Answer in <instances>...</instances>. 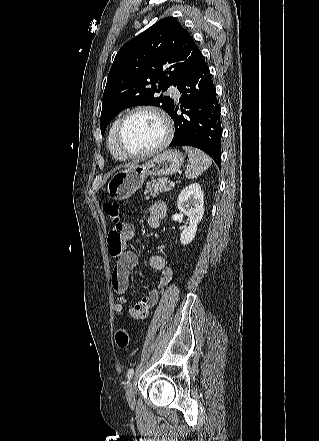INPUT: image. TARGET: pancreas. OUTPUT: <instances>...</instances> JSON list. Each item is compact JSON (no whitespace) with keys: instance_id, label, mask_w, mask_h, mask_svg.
Wrapping results in <instances>:
<instances>
[{"instance_id":"cf45deb5","label":"pancreas","mask_w":319,"mask_h":441,"mask_svg":"<svg viewBox=\"0 0 319 441\" xmlns=\"http://www.w3.org/2000/svg\"><path fill=\"white\" fill-rule=\"evenodd\" d=\"M168 178H160L157 180H151L147 183L145 194H147L146 199H149L148 193L155 198L160 193H165L171 190V187L168 185Z\"/></svg>"}]
</instances>
